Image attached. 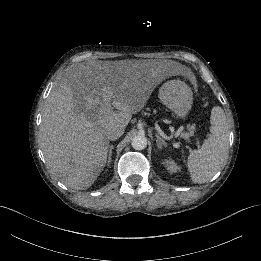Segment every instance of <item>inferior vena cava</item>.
<instances>
[{
  "label": "inferior vena cava",
  "mask_w": 261,
  "mask_h": 261,
  "mask_svg": "<svg viewBox=\"0 0 261 261\" xmlns=\"http://www.w3.org/2000/svg\"><path fill=\"white\" fill-rule=\"evenodd\" d=\"M123 133H124V128L116 127L107 133V137H108V139L114 141V140L118 139L119 137H121L123 135Z\"/></svg>",
  "instance_id": "inferior-vena-cava-1"
}]
</instances>
